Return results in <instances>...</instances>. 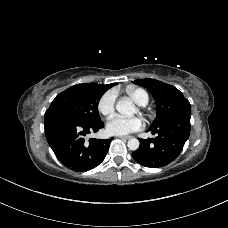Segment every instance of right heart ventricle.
I'll use <instances>...</instances> for the list:
<instances>
[{
    "mask_svg": "<svg viewBox=\"0 0 228 228\" xmlns=\"http://www.w3.org/2000/svg\"><path fill=\"white\" fill-rule=\"evenodd\" d=\"M127 94L130 98L139 106H145L149 102V94L142 88L138 87H127Z\"/></svg>",
    "mask_w": 228,
    "mask_h": 228,
    "instance_id": "e07e8e85",
    "label": "right heart ventricle"
}]
</instances>
